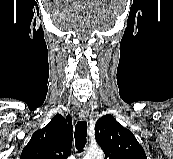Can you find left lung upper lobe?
<instances>
[{"instance_id":"5c2ea615","label":"left lung upper lobe","mask_w":173,"mask_h":159,"mask_svg":"<svg viewBox=\"0 0 173 159\" xmlns=\"http://www.w3.org/2000/svg\"><path fill=\"white\" fill-rule=\"evenodd\" d=\"M95 139L103 149L105 159H147L133 133L110 114L96 122Z\"/></svg>"}]
</instances>
